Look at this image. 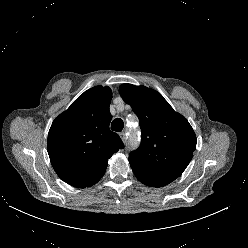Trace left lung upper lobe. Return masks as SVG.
<instances>
[{
	"mask_svg": "<svg viewBox=\"0 0 248 248\" xmlns=\"http://www.w3.org/2000/svg\"><path fill=\"white\" fill-rule=\"evenodd\" d=\"M119 93L140 121L141 145L129 154L134 175L151 187L171 183L186 169L196 149L191 125L153 89L122 84Z\"/></svg>",
	"mask_w": 248,
	"mask_h": 248,
	"instance_id": "left-lung-upper-lobe-1",
	"label": "left lung upper lobe"
}]
</instances>
